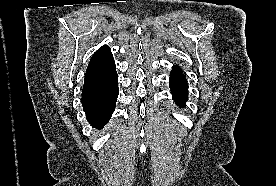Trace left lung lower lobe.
I'll return each instance as SVG.
<instances>
[{
    "label": "left lung lower lobe",
    "mask_w": 276,
    "mask_h": 186,
    "mask_svg": "<svg viewBox=\"0 0 276 186\" xmlns=\"http://www.w3.org/2000/svg\"><path fill=\"white\" fill-rule=\"evenodd\" d=\"M169 82L175 103L179 107H184L187 101L188 85L184 74L176 65L172 68Z\"/></svg>",
    "instance_id": "1"
}]
</instances>
